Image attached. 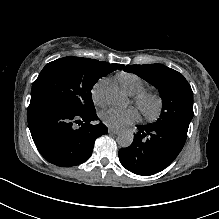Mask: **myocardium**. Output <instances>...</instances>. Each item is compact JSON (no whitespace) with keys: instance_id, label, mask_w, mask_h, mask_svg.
Returning a JSON list of instances; mask_svg holds the SVG:
<instances>
[{"instance_id":"obj_1","label":"myocardium","mask_w":219,"mask_h":219,"mask_svg":"<svg viewBox=\"0 0 219 219\" xmlns=\"http://www.w3.org/2000/svg\"><path fill=\"white\" fill-rule=\"evenodd\" d=\"M149 101L154 104V109L151 112L147 111L145 108V104ZM133 102L147 122H156L163 114L164 100L157 92L142 90L133 96Z\"/></svg>"}]
</instances>
